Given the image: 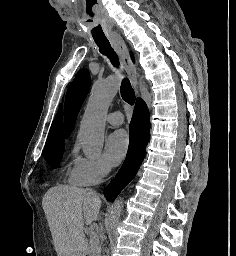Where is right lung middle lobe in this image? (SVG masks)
<instances>
[{"label": "right lung middle lobe", "mask_w": 236, "mask_h": 256, "mask_svg": "<svg viewBox=\"0 0 236 256\" xmlns=\"http://www.w3.org/2000/svg\"><path fill=\"white\" fill-rule=\"evenodd\" d=\"M64 145L65 140L46 142L43 154L45 160L52 168H56L59 165Z\"/></svg>", "instance_id": "right-lung-middle-lobe-1"}]
</instances>
